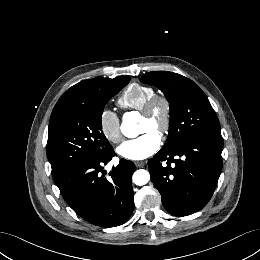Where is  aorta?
I'll use <instances>...</instances> for the list:
<instances>
[{"label":"aorta","mask_w":260,"mask_h":260,"mask_svg":"<svg viewBox=\"0 0 260 260\" xmlns=\"http://www.w3.org/2000/svg\"><path fill=\"white\" fill-rule=\"evenodd\" d=\"M121 132L126 137L135 138L138 136L140 129L135 119L129 115H125L121 124ZM132 180L136 185L142 186L148 183L150 180V174L145 169H139L134 172Z\"/></svg>","instance_id":"aorta-1"}]
</instances>
